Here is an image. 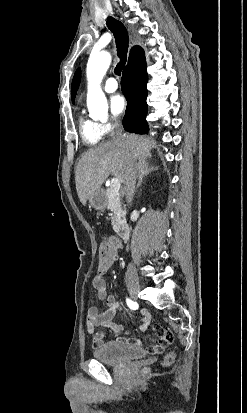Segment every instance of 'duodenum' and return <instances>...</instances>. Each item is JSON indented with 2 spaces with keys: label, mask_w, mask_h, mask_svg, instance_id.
<instances>
[{
  "label": "duodenum",
  "mask_w": 247,
  "mask_h": 413,
  "mask_svg": "<svg viewBox=\"0 0 247 413\" xmlns=\"http://www.w3.org/2000/svg\"><path fill=\"white\" fill-rule=\"evenodd\" d=\"M117 234L122 240H127L130 237V228L127 224H122L117 229Z\"/></svg>",
  "instance_id": "duodenum-1"
}]
</instances>
